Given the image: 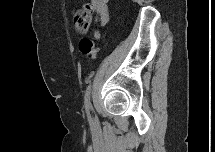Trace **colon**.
Instances as JSON below:
<instances>
[{
  "instance_id": "5ec220e1",
  "label": "colon",
  "mask_w": 215,
  "mask_h": 152,
  "mask_svg": "<svg viewBox=\"0 0 215 152\" xmlns=\"http://www.w3.org/2000/svg\"><path fill=\"white\" fill-rule=\"evenodd\" d=\"M92 9L90 4L82 5L74 15V26L79 33H85L91 22ZM80 52L88 59L94 60L97 57L96 43L91 38H83L79 43Z\"/></svg>"
}]
</instances>
